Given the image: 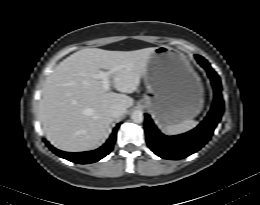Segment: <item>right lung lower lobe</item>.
<instances>
[{
	"mask_svg": "<svg viewBox=\"0 0 260 205\" xmlns=\"http://www.w3.org/2000/svg\"><path fill=\"white\" fill-rule=\"evenodd\" d=\"M119 126L120 125L118 124L115 127V129L113 130V133L110 136V138L108 139V141L102 147H100L99 149L94 150V151L69 153V152H63V151L57 150L56 148L51 146L49 144V142H46V145L55 154H57L58 156H60L64 159H67L71 162L78 163V164L93 163V162H96V161L102 159L103 157H105L106 155H108L111 152L113 145L115 143V140H116V133H117V129L119 128Z\"/></svg>",
	"mask_w": 260,
	"mask_h": 205,
	"instance_id": "1",
	"label": "right lung lower lobe"
}]
</instances>
